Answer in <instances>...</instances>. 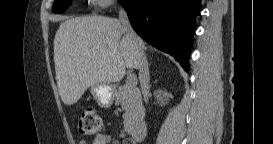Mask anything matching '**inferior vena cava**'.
<instances>
[{
	"instance_id": "inferior-vena-cava-1",
	"label": "inferior vena cava",
	"mask_w": 273,
	"mask_h": 144,
	"mask_svg": "<svg viewBox=\"0 0 273 144\" xmlns=\"http://www.w3.org/2000/svg\"><path fill=\"white\" fill-rule=\"evenodd\" d=\"M119 21L125 33L132 38L133 48L139 63V80L144 96V100L148 103L149 99V68L144 53V44L132 29L126 11L121 7L119 10Z\"/></svg>"
}]
</instances>
